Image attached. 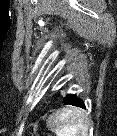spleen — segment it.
Returning a JSON list of instances; mask_svg holds the SVG:
<instances>
[{"mask_svg": "<svg viewBox=\"0 0 117 136\" xmlns=\"http://www.w3.org/2000/svg\"><path fill=\"white\" fill-rule=\"evenodd\" d=\"M47 127L56 136H87L88 121L83 111L75 108H62L47 120Z\"/></svg>", "mask_w": 117, "mask_h": 136, "instance_id": "1", "label": "spleen"}]
</instances>
